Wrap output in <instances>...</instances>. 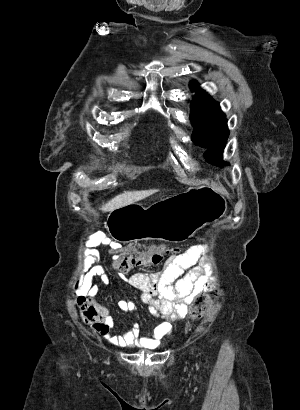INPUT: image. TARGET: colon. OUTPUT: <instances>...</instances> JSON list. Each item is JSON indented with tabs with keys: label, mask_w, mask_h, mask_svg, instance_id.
<instances>
[{
	"label": "colon",
	"mask_w": 300,
	"mask_h": 410,
	"mask_svg": "<svg viewBox=\"0 0 300 410\" xmlns=\"http://www.w3.org/2000/svg\"><path fill=\"white\" fill-rule=\"evenodd\" d=\"M178 251V249L169 248H137L131 253L115 254L112 258V265L116 271L126 274L133 268L159 266L166 255ZM211 304V298L207 293H198L188 310V317L190 319L202 317L210 309Z\"/></svg>",
	"instance_id": "obj_1"
}]
</instances>
